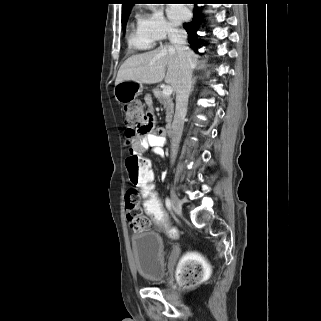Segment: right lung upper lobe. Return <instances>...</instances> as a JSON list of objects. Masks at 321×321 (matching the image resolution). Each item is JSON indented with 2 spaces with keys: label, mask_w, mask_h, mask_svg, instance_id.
I'll list each match as a JSON object with an SVG mask.
<instances>
[{
  "label": "right lung upper lobe",
  "mask_w": 321,
  "mask_h": 321,
  "mask_svg": "<svg viewBox=\"0 0 321 321\" xmlns=\"http://www.w3.org/2000/svg\"><path fill=\"white\" fill-rule=\"evenodd\" d=\"M122 15L130 12L132 5L136 3L137 0H122Z\"/></svg>",
  "instance_id": "obj_1"
}]
</instances>
